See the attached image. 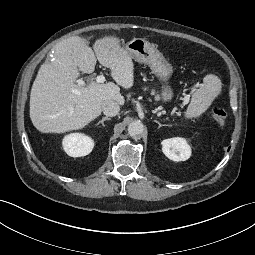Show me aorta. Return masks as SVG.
<instances>
[{
    "mask_svg": "<svg viewBox=\"0 0 255 255\" xmlns=\"http://www.w3.org/2000/svg\"><path fill=\"white\" fill-rule=\"evenodd\" d=\"M144 132V125L141 121L135 120L128 125V133L131 137H136Z\"/></svg>",
    "mask_w": 255,
    "mask_h": 255,
    "instance_id": "aorta-1",
    "label": "aorta"
}]
</instances>
